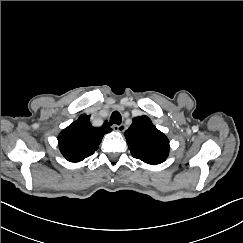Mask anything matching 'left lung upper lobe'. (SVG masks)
<instances>
[{"label":"left lung upper lobe","mask_w":243,"mask_h":243,"mask_svg":"<svg viewBox=\"0 0 243 243\" xmlns=\"http://www.w3.org/2000/svg\"><path fill=\"white\" fill-rule=\"evenodd\" d=\"M125 137L134 158L157 165L168 157L170 149L168 138L147 116L134 118L132 125L125 132Z\"/></svg>","instance_id":"1"}]
</instances>
